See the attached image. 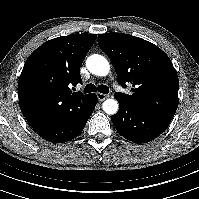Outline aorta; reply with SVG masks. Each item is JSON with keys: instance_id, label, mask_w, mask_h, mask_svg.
<instances>
[{"instance_id": "762f6f07", "label": "aorta", "mask_w": 199, "mask_h": 199, "mask_svg": "<svg viewBox=\"0 0 199 199\" xmlns=\"http://www.w3.org/2000/svg\"><path fill=\"white\" fill-rule=\"evenodd\" d=\"M86 66L88 70L97 76H106L110 71L109 62L105 57L93 54L87 58ZM102 108L105 113L113 115L118 111L119 105L115 99H107L103 102Z\"/></svg>"}]
</instances>
